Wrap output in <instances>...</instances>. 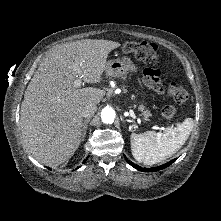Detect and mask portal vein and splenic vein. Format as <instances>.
<instances>
[{"mask_svg":"<svg viewBox=\"0 0 221 221\" xmlns=\"http://www.w3.org/2000/svg\"><path fill=\"white\" fill-rule=\"evenodd\" d=\"M73 68L77 74H79V75L81 74V69L77 64H74ZM73 84H74V87L79 88L82 84V81L80 78H77ZM130 116L134 119L136 118V116L132 110L130 111ZM159 130L161 131V130H163V128L161 127V128H159Z\"/></svg>","mask_w":221,"mask_h":221,"instance_id":"1","label":"portal vein and splenic vein"}]
</instances>
